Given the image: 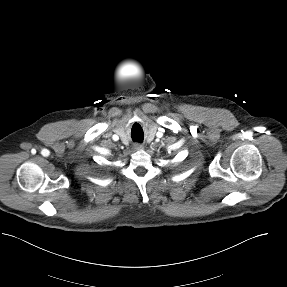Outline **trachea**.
Here are the masks:
<instances>
[{
    "label": "trachea",
    "instance_id": "1",
    "mask_svg": "<svg viewBox=\"0 0 287 287\" xmlns=\"http://www.w3.org/2000/svg\"><path fill=\"white\" fill-rule=\"evenodd\" d=\"M136 141L141 142V139H137Z\"/></svg>",
    "mask_w": 287,
    "mask_h": 287
}]
</instances>
